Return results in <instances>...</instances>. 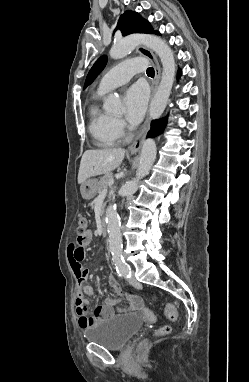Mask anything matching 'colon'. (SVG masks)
Returning a JSON list of instances; mask_svg holds the SVG:
<instances>
[{
  "label": "colon",
  "mask_w": 249,
  "mask_h": 382,
  "mask_svg": "<svg viewBox=\"0 0 249 382\" xmlns=\"http://www.w3.org/2000/svg\"><path fill=\"white\" fill-rule=\"evenodd\" d=\"M87 225H88V220L84 215H80L78 218V236L77 239L78 241H83L85 234L87 232ZM76 274L77 276L81 278H86L88 276V270L87 268L81 263V266H77L76 268ZM138 310L143 314L146 320L153 322L155 321V316L154 314L148 310L145 307H139ZM166 316L168 319L174 321L177 318L176 314V308L173 304H168L166 306ZM170 332V327L165 325L162 326L161 328L158 329L157 334L158 335H164Z\"/></svg>",
  "instance_id": "1"
}]
</instances>
